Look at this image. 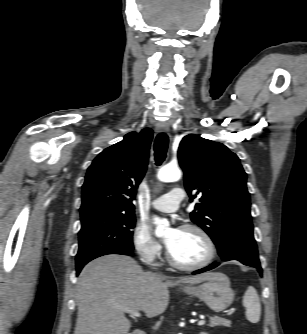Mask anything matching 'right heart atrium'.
Returning a JSON list of instances; mask_svg holds the SVG:
<instances>
[{
    "label": "right heart atrium",
    "mask_w": 307,
    "mask_h": 334,
    "mask_svg": "<svg viewBox=\"0 0 307 334\" xmlns=\"http://www.w3.org/2000/svg\"><path fill=\"white\" fill-rule=\"evenodd\" d=\"M131 242L135 253L144 264H153L161 255L162 246L145 224L138 223L135 226Z\"/></svg>",
    "instance_id": "1"
}]
</instances>
